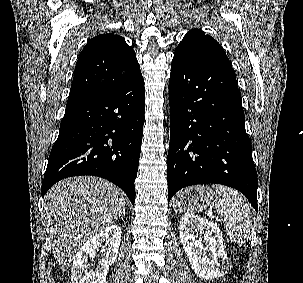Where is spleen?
<instances>
[{"instance_id": "spleen-1", "label": "spleen", "mask_w": 303, "mask_h": 283, "mask_svg": "<svg viewBox=\"0 0 303 283\" xmlns=\"http://www.w3.org/2000/svg\"><path fill=\"white\" fill-rule=\"evenodd\" d=\"M213 188L218 194L214 201L216 211L225 217L227 235L234 244H245L250 238L252 228L248 204L236 190L223 185H213Z\"/></svg>"}]
</instances>
